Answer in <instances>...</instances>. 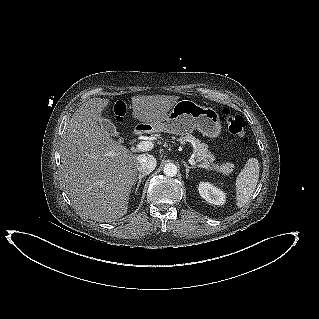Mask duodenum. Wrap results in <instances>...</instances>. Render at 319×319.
Listing matches in <instances>:
<instances>
[{
    "mask_svg": "<svg viewBox=\"0 0 319 319\" xmlns=\"http://www.w3.org/2000/svg\"><path fill=\"white\" fill-rule=\"evenodd\" d=\"M144 130H147V126H145V125H141V126H139L138 128H137V134H139V133H141V132H143Z\"/></svg>",
    "mask_w": 319,
    "mask_h": 319,
    "instance_id": "1",
    "label": "duodenum"
}]
</instances>
